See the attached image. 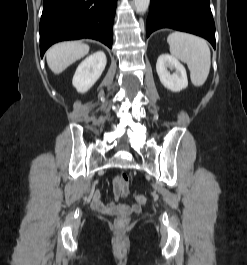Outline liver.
I'll return each mask as SVG.
<instances>
[{"label":"liver","mask_w":247,"mask_h":265,"mask_svg":"<svg viewBox=\"0 0 247 265\" xmlns=\"http://www.w3.org/2000/svg\"><path fill=\"white\" fill-rule=\"evenodd\" d=\"M89 49L87 44L81 42L55 44L46 52L47 64L53 73L60 74L72 63L87 55Z\"/></svg>","instance_id":"obj_1"}]
</instances>
